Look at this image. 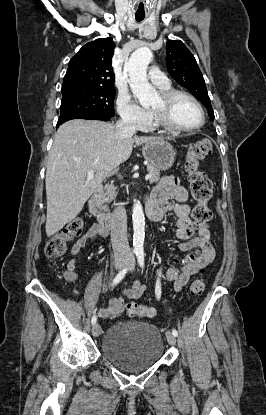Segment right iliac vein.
<instances>
[{
  "label": "right iliac vein",
  "mask_w": 266,
  "mask_h": 415,
  "mask_svg": "<svg viewBox=\"0 0 266 415\" xmlns=\"http://www.w3.org/2000/svg\"><path fill=\"white\" fill-rule=\"evenodd\" d=\"M125 264H126V260L125 259L118 258V259L115 260V268L117 270L122 269L125 266ZM100 333H101V327H100V325L98 323L97 324H94L93 327H92V334H93V336L98 337L100 335Z\"/></svg>",
  "instance_id": "63e3f726"
}]
</instances>
